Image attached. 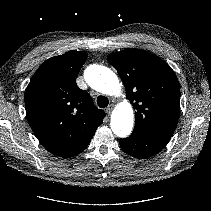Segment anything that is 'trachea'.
Listing matches in <instances>:
<instances>
[{
  "mask_svg": "<svg viewBox=\"0 0 211 211\" xmlns=\"http://www.w3.org/2000/svg\"><path fill=\"white\" fill-rule=\"evenodd\" d=\"M97 104L100 108H105L108 106L109 100L107 97L100 95L97 97Z\"/></svg>",
  "mask_w": 211,
  "mask_h": 211,
  "instance_id": "3493384b",
  "label": "trachea"
}]
</instances>
